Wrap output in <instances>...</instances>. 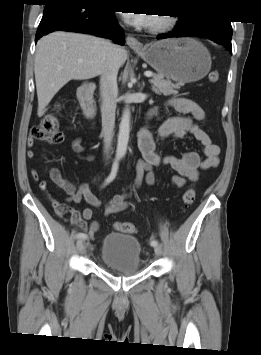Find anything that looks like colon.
<instances>
[{
	"label": "colon",
	"instance_id": "colon-1",
	"mask_svg": "<svg viewBox=\"0 0 261 355\" xmlns=\"http://www.w3.org/2000/svg\"><path fill=\"white\" fill-rule=\"evenodd\" d=\"M209 81L215 83L219 80L218 71H212L209 74ZM31 138L34 141L45 142L48 144H60L64 140L63 133L59 129V121L54 115L45 116L40 123L31 130ZM196 197L194 188L190 187L183 195V203L185 207L190 206ZM115 228L122 233H136L137 227L130 222H117Z\"/></svg>",
	"mask_w": 261,
	"mask_h": 355
}]
</instances>
